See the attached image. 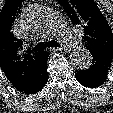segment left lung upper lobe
Wrapping results in <instances>:
<instances>
[{
  "label": "left lung upper lobe",
  "instance_id": "1",
  "mask_svg": "<svg viewBox=\"0 0 113 113\" xmlns=\"http://www.w3.org/2000/svg\"><path fill=\"white\" fill-rule=\"evenodd\" d=\"M73 24L83 28V41L92 56L113 60V34L94 0H57Z\"/></svg>",
  "mask_w": 113,
  "mask_h": 113
}]
</instances>
